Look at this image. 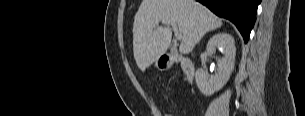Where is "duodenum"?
Returning <instances> with one entry per match:
<instances>
[{"instance_id": "duodenum-1", "label": "duodenum", "mask_w": 305, "mask_h": 116, "mask_svg": "<svg viewBox=\"0 0 305 116\" xmlns=\"http://www.w3.org/2000/svg\"><path fill=\"white\" fill-rule=\"evenodd\" d=\"M162 61L165 64L171 65L174 64L176 62H180L184 73L186 75V80L188 83H192L193 79H194V68L192 65V62L190 61V59H188L187 57H182V56H171L169 53H166L162 56Z\"/></svg>"}]
</instances>
